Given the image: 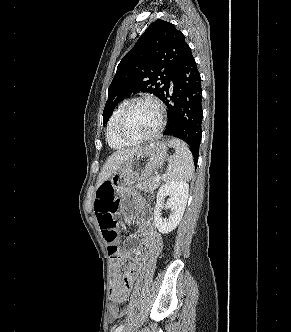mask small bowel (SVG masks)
<instances>
[{
  "instance_id": "small-bowel-1",
  "label": "small bowel",
  "mask_w": 291,
  "mask_h": 332,
  "mask_svg": "<svg viewBox=\"0 0 291 332\" xmlns=\"http://www.w3.org/2000/svg\"><path fill=\"white\" fill-rule=\"evenodd\" d=\"M106 188H111L110 183H102L96 192V198L98 194ZM96 199L94 202V211H96ZM136 238H141L144 244V252L134 255L128 248H123L119 251L118 258L113 263V271L115 273L114 280L111 287V297L117 302L125 301L137 279L138 272L141 266L151 258H157L161 255L163 250V238L160 232L155 228L152 220H144L141 224L139 231L136 234ZM131 260L133 263L128 268L124 276H119L118 272L122 261Z\"/></svg>"
}]
</instances>
